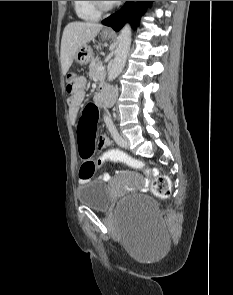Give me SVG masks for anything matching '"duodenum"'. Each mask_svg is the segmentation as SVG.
Returning <instances> with one entry per match:
<instances>
[{"label":"duodenum","instance_id":"obj_1","mask_svg":"<svg viewBox=\"0 0 233 295\" xmlns=\"http://www.w3.org/2000/svg\"><path fill=\"white\" fill-rule=\"evenodd\" d=\"M110 94L111 93L109 90H105L103 92L97 93L94 97L95 104H98L102 100L103 96H109Z\"/></svg>","mask_w":233,"mask_h":295}]
</instances>
